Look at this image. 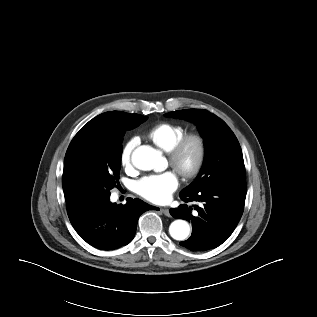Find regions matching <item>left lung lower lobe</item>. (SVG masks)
I'll return each instance as SVG.
<instances>
[{
    "label": "left lung lower lobe",
    "instance_id": "1",
    "mask_svg": "<svg viewBox=\"0 0 317 317\" xmlns=\"http://www.w3.org/2000/svg\"><path fill=\"white\" fill-rule=\"evenodd\" d=\"M184 202L194 205L198 214H191L192 207L186 204L170 209L174 218L192 223L191 237L180 245L192 251H205L221 245L236 228L245 204L246 182L218 183L198 193L180 194Z\"/></svg>",
    "mask_w": 317,
    "mask_h": 317
}]
</instances>
